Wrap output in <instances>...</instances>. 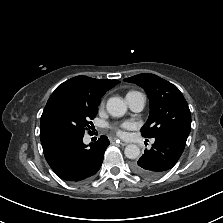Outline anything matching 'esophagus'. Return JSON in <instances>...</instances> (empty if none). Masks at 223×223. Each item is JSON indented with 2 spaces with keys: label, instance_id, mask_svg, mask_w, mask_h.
<instances>
[{
  "label": "esophagus",
  "instance_id": "esophagus-1",
  "mask_svg": "<svg viewBox=\"0 0 223 223\" xmlns=\"http://www.w3.org/2000/svg\"><path fill=\"white\" fill-rule=\"evenodd\" d=\"M112 141L117 142V143H119L122 146H126L128 144V142L122 141V140L117 139V138L112 139Z\"/></svg>",
  "mask_w": 223,
  "mask_h": 223
}]
</instances>
